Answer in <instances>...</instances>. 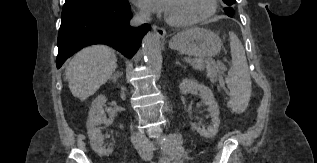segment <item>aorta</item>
<instances>
[{
    "mask_svg": "<svg viewBox=\"0 0 317 163\" xmlns=\"http://www.w3.org/2000/svg\"><path fill=\"white\" fill-rule=\"evenodd\" d=\"M142 51L146 63L155 67L160 56V36L155 32H148L142 40Z\"/></svg>",
    "mask_w": 317,
    "mask_h": 163,
    "instance_id": "obj_1",
    "label": "aorta"
}]
</instances>
